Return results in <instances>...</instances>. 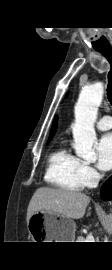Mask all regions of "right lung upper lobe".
Returning a JSON list of instances; mask_svg holds the SVG:
<instances>
[{"mask_svg": "<svg viewBox=\"0 0 112 270\" xmlns=\"http://www.w3.org/2000/svg\"><path fill=\"white\" fill-rule=\"evenodd\" d=\"M56 127H57V116L55 117V120L53 122V125H52V129H51V133H50V138L53 137L55 131H56Z\"/></svg>", "mask_w": 112, "mask_h": 270, "instance_id": "right-lung-upper-lobe-1", "label": "right lung upper lobe"}]
</instances>
